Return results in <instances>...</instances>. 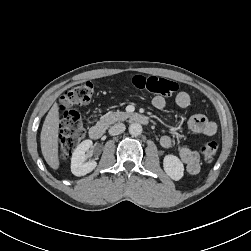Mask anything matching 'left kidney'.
Segmentation results:
<instances>
[{
  "label": "left kidney",
  "instance_id": "5707ae66",
  "mask_svg": "<svg viewBox=\"0 0 251 251\" xmlns=\"http://www.w3.org/2000/svg\"><path fill=\"white\" fill-rule=\"evenodd\" d=\"M163 167L166 174L173 180H180L184 175V166L175 155H166L163 160Z\"/></svg>",
  "mask_w": 251,
  "mask_h": 251
}]
</instances>
